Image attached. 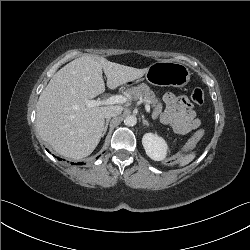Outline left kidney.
I'll list each match as a JSON object with an SVG mask.
<instances>
[{"instance_id": "1", "label": "left kidney", "mask_w": 250, "mask_h": 250, "mask_svg": "<svg viewBox=\"0 0 250 250\" xmlns=\"http://www.w3.org/2000/svg\"><path fill=\"white\" fill-rule=\"evenodd\" d=\"M142 144L146 154L151 159L155 161H161L165 159L168 151V145L162 137L158 136L157 134L146 133L142 138Z\"/></svg>"}]
</instances>
